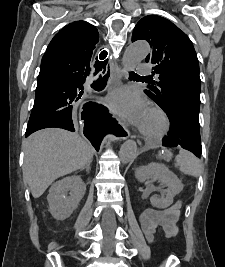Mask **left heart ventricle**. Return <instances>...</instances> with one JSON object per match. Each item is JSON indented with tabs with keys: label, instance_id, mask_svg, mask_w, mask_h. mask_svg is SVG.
<instances>
[{
	"label": "left heart ventricle",
	"instance_id": "1",
	"mask_svg": "<svg viewBox=\"0 0 225 267\" xmlns=\"http://www.w3.org/2000/svg\"><path fill=\"white\" fill-rule=\"evenodd\" d=\"M161 126H162V121L160 117L157 114L148 110L145 119L141 125V129H143L146 132L153 133L158 131L161 128Z\"/></svg>",
	"mask_w": 225,
	"mask_h": 267
}]
</instances>
